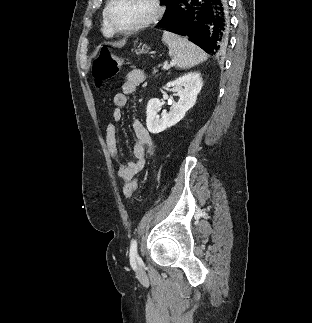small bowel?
I'll list each match as a JSON object with an SVG mask.
<instances>
[{"instance_id": "small-bowel-1", "label": "small bowel", "mask_w": 312, "mask_h": 323, "mask_svg": "<svg viewBox=\"0 0 312 323\" xmlns=\"http://www.w3.org/2000/svg\"><path fill=\"white\" fill-rule=\"evenodd\" d=\"M146 80L145 73L141 69H132L128 72L126 80L113 97L115 108L111 113V120L105 128V144L112 159L117 163L116 173L120 180L125 183L130 182L140 173L146 165V151L152 150V141L148 131L137 119L133 121V130L136 142L133 146L134 160L123 163L118 157L117 126L123 119L122 108L127 104L128 95L132 94L136 88Z\"/></svg>"}]
</instances>
